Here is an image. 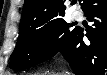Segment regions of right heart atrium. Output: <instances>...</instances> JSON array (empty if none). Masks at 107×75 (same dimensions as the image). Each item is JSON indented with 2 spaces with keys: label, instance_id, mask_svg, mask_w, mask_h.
I'll list each match as a JSON object with an SVG mask.
<instances>
[{
  "label": "right heart atrium",
  "instance_id": "obj_1",
  "mask_svg": "<svg viewBox=\"0 0 107 75\" xmlns=\"http://www.w3.org/2000/svg\"><path fill=\"white\" fill-rule=\"evenodd\" d=\"M43 44H44V46H47V45L49 44V40H48L47 38H45V39L43 40Z\"/></svg>",
  "mask_w": 107,
  "mask_h": 75
}]
</instances>
